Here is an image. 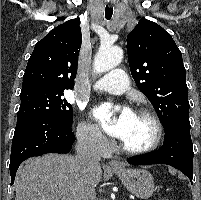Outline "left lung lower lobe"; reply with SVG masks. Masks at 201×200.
<instances>
[{
    "instance_id": "1",
    "label": "left lung lower lobe",
    "mask_w": 201,
    "mask_h": 200,
    "mask_svg": "<svg viewBox=\"0 0 201 200\" xmlns=\"http://www.w3.org/2000/svg\"><path fill=\"white\" fill-rule=\"evenodd\" d=\"M165 130L164 143L157 151L127 159L129 164H167L179 169L192 184L193 144L190 136V122H176Z\"/></svg>"
}]
</instances>
